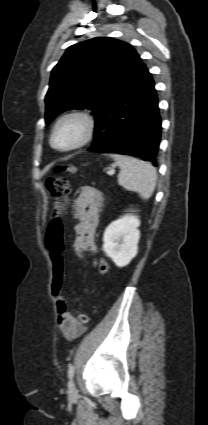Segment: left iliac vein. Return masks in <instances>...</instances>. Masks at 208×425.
<instances>
[{"instance_id": "4c4485c4", "label": "left iliac vein", "mask_w": 208, "mask_h": 425, "mask_svg": "<svg viewBox=\"0 0 208 425\" xmlns=\"http://www.w3.org/2000/svg\"><path fill=\"white\" fill-rule=\"evenodd\" d=\"M69 396L71 398L77 397V388L73 380L69 382Z\"/></svg>"}]
</instances>
